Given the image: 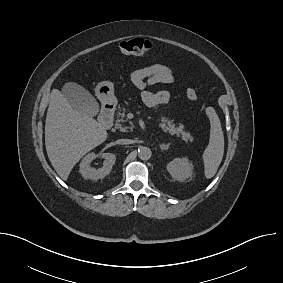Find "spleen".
<instances>
[{
	"mask_svg": "<svg viewBox=\"0 0 283 283\" xmlns=\"http://www.w3.org/2000/svg\"><path fill=\"white\" fill-rule=\"evenodd\" d=\"M207 116L210 120L209 144L203 153L204 173L207 179L212 178L222 161L224 154V135L220 119L214 108H207Z\"/></svg>",
	"mask_w": 283,
	"mask_h": 283,
	"instance_id": "1",
	"label": "spleen"
}]
</instances>
